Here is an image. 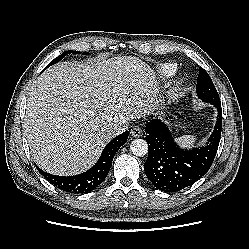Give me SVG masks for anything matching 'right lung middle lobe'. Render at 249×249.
<instances>
[{
	"instance_id": "obj_1",
	"label": "right lung middle lobe",
	"mask_w": 249,
	"mask_h": 249,
	"mask_svg": "<svg viewBox=\"0 0 249 249\" xmlns=\"http://www.w3.org/2000/svg\"><path fill=\"white\" fill-rule=\"evenodd\" d=\"M70 53H79V52H78V51H70V50H68V51L62 53V54H61L60 56H58L57 58H55L54 60H52V61L47 65V67L53 65L54 63L59 62L62 58H64L67 54H70ZM83 54H88V53L83 52ZM47 67H46V68H47ZM46 68H45V69H46Z\"/></svg>"
}]
</instances>
